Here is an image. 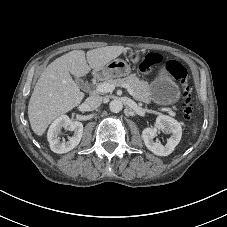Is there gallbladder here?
<instances>
[{"label":"gallbladder","mask_w":227,"mask_h":227,"mask_svg":"<svg viewBox=\"0 0 227 227\" xmlns=\"http://www.w3.org/2000/svg\"><path fill=\"white\" fill-rule=\"evenodd\" d=\"M76 82H77L78 86H80V87H82L84 84V81L80 78H76Z\"/></svg>","instance_id":"gallbladder-1"}]
</instances>
